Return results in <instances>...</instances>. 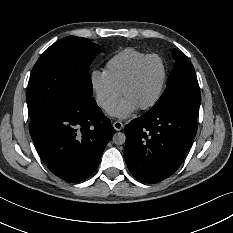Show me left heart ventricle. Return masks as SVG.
I'll use <instances>...</instances> for the list:
<instances>
[{"label":"left heart ventricle","mask_w":233,"mask_h":233,"mask_svg":"<svg viewBox=\"0 0 233 233\" xmlns=\"http://www.w3.org/2000/svg\"><path fill=\"white\" fill-rule=\"evenodd\" d=\"M164 78V66L159 58L151 59L136 81L127 89L125 96L133 99L139 107L151 103L159 93Z\"/></svg>","instance_id":"obj_1"}]
</instances>
